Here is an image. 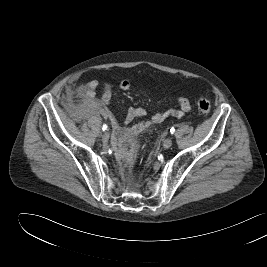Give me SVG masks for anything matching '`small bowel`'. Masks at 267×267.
<instances>
[{"instance_id": "small-bowel-1", "label": "small bowel", "mask_w": 267, "mask_h": 267, "mask_svg": "<svg viewBox=\"0 0 267 267\" xmlns=\"http://www.w3.org/2000/svg\"><path fill=\"white\" fill-rule=\"evenodd\" d=\"M98 86V82L96 80H91L87 83L85 95L87 98L92 99L95 96V91ZM120 88L124 91H128L131 88V84L127 80H123L120 83ZM68 92H73L72 88L69 87L67 89ZM112 98V90L109 85H105L102 90L101 95V104L102 108H100V113L103 117L110 120L112 127L116 133L117 136L120 138H129L133 137L142 131L146 130L153 124H158L163 122L166 118L173 116V117H183L186 113H188L192 105L190 101L185 97H179L176 99V103L178 105V109H167L161 112H157L153 114L149 119L143 120L139 123L129 125L135 118L143 117L146 115V110L144 108H132L130 107L127 110V114L123 120V124L125 125L124 128H120L115 117L111 113V111L108 109V106L111 102Z\"/></svg>"}]
</instances>
